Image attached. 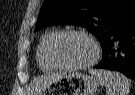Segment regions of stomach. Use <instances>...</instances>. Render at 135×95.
<instances>
[{
  "instance_id": "0dacf381",
  "label": "stomach",
  "mask_w": 135,
  "mask_h": 95,
  "mask_svg": "<svg viewBox=\"0 0 135 95\" xmlns=\"http://www.w3.org/2000/svg\"><path fill=\"white\" fill-rule=\"evenodd\" d=\"M99 84L98 78L93 75L72 72L51 82L38 95H93Z\"/></svg>"
}]
</instances>
